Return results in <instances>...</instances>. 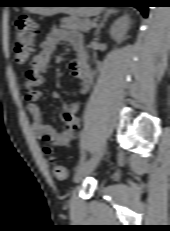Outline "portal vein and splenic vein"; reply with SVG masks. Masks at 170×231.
Masks as SVG:
<instances>
[{
	"instance_id": "1",
	"label": "portal vein and splenic vein",
	"mask_w": 170,
	"mask_h": 231,
	"mask_svg": "<svg viewBox=\"0 0 170 231\" xmlns=\"http://www.w3.org/2000/svg\"><path fill=\"white\" fill-rule=\"evenodd\" d=\"M92 26H96V23H95V22H93V23H92Z\"/></svg>"
}]
</instances>
